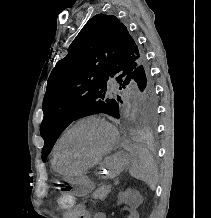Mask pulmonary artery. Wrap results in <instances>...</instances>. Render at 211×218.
I'll list each match as a JSON object with an SVG mask.
<instances>
[{
    "label": "pulmonary artery",
    "mask_w": 211,
    "mask_h": 218,
    "mask_svg": "<svg viewBox=\"0 0 211 218\" xmlns=\"http://www.w3.org/2000/svg\"><path fill=\"white\" fill-rule=\"evenodd\" d=\"M105 88L109 90L110 95H119L121 87L116 80H107Z\"/></svg>",
    "instance_id": "1"
}]
</instances>
